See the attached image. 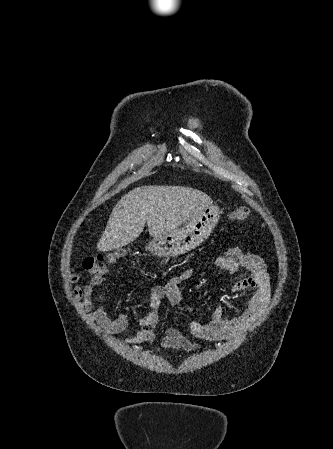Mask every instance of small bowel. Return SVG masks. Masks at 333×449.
Wrapping results in <instances>:
<instances>
[{"label": "small bowel", "mask_w": 333, "mask_h": 449, "mask_svg": "<svg viewBox=\"0 0 333 449\" xmlns=\"http://www.w3.org/2000/svg\"><path fill=\"white\" fill-rule=\"evenodd\" d=\"M215 264L230 273H235L240 267L249 272L247 278L234 281L231 289L234 292L251 291L250 300L233 318L225 317L223 307L217 306L209 322L191 321L186 325V333L178 328L168 327L166 336L161 343L162 349L174 351L198 349L200 344L193 342L190 337L205 341L235 339L245 333L261 315L270 297L269 275L264 260L256 254L233 247L218 257ZM193 274V269H186L149 291V311L139 320V330L129 340V344L150 343L155 339L158 309L162 301L166 299L172 305L177 304L180 300V284ZM106 280L104 274H93L85 282L79 272L70 273V281L75 284L73 293L78 307L88 313L89 319L106 333L118 334L127 328V316L117 313L114 318L109 317L104 306L103 294L97 296L99 304L93 309V289L105 283Z\"/></svg>", "instance_id": "obj_1"}]
</instances>
